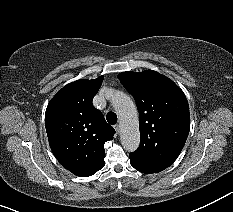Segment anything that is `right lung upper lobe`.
I'll use <instances>...</instances> for the list:
<instances>
[{
  "label": "right lung upper lobe",
  "mask_w": 233,
  "mask_h": 212,
  "mask_svg": "<svg viewBox=\"0 0 233 212\" xmlns=\"http://www.w3.org/2000/svg\"><path fill=\"white\" fill-rule=\"evenodd\" d=\"M104 76L64 86L49 102L45 127L53 154L77 176H91L104 167V144L115 130L92 105Z\"/></svg>",
  "instance_id": "1"
}]
</instances>
